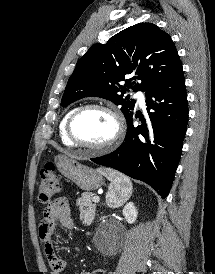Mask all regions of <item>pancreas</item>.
<instances>
[{
	"mask_svg": "<svg viewBox=\"0 0 215 274\" xmlns=\"http://www.w3.org/2000/svg\"><path fill=\"white\" fill-rule=\"evenodd\" d=\"M80 215L85 223L90 224L95 216L96 204L93 203V194L85 192L77 199Z\"/></svg>",
	"mask_w": 215,
	"mask_h": 274,
	"instance_id": "cf45deb5",
	"label": "pancreas"
}]
</instances>
